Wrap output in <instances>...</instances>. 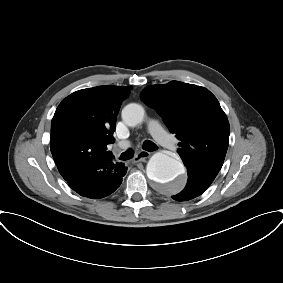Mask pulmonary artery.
I'll return each instance as SVG.
<instances>
[{"instance_id": "pulmonary-artery-1", "label": "pulmonary artery", "mask_w": 283, "mask_h": 283, "mask_svg": "<svg viewBox=\"0 0 283 283\" xmlns=\"http://www.w3.org/2000/svg\"><path fill=\"white\" fill-rule=\"evenodd\" d=\"M148 129L155 140L163 147L174 150L177 147L176 141L170 137L164 130L159 121L153 119L148 123ZM130 145L129 141H122L119 143L120 148H126Z\"/></svg>"}]
</instances>
